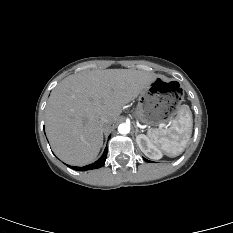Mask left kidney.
Wrapping results in <instances>:
<instances>
[{
    "label": "left kidney",
    "instance_id": "1",
    "mask_svg": "<svg viewBox=\"0 0 233 233\" xmlns=\"http://www.w3.org/2000/svg\"><path fill=\"white\" fill-rule=\"evenodd\" d=\"M136 142L141 151L151 159H160L162 157L161 151L152 143V141L144 134L136 137Z\"/></svg>",
    "mask_w": 233,
    "mask_h": 233
}]
</instances>
